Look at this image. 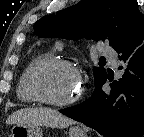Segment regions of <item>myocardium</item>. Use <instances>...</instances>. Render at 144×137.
I'll use <instances>...</instances> for the list:
<instances>
[{"mask_svg":"<svg viewBox=\"0 0 144 137\" xmlns=\"http://www.w3.org/2000/svg\"><path fill=\"white\" fill-rule=\"evenodd\" d=\"M54 67H65L72 71H74L80 81L79 89L75 96L71 99L65 101H55L47 98L38 87V77L39 75L46 69L54 68ZM27 87L30 94L34 97V99L40 103L45 105L53 106V107H67L75 104L80 100L83 92V87L81 83V76L78 68L70 61L58 58H46L38 62L30 71L27 81Z\"/></svg>","mask_w":144,"mask_h":137,"instance_id":"myocardium-1","label":"myocardium"}]
</instances>
